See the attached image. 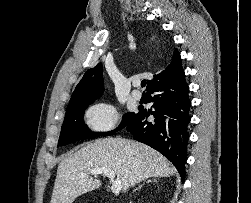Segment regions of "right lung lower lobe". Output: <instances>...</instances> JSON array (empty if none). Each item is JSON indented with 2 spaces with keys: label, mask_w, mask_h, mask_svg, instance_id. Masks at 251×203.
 <instances>
[{
  "label": "right lung lower lobe",
  "mask_w": 251,
  "mask_h": 203,
  "mask_svg": "<svg viewBox=\"0 0 251 203\" xmlns=\"http://www.w3.org/2000/svg\"><path fill=\"white\" fill-rule=\"evenodd\" d=\"M147 94L149 101L154 103L153 109H139L126 129L137 141L151 146L168 158L184 181L191 101L182 66L152 85ZM151 115L153 121H149Z\"/></svg>",
  "instance_id": "1"
}]
</instances>
